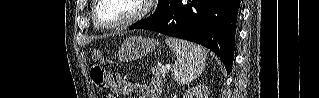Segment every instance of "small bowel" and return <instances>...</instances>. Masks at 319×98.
<instances>
[{
    "instance_id": "c3829d8e",
    "label": "small bowel",
    "mask_w": 319,
    "mask_h": 98,
    "mask_svg": "<svg viewBox=\"0 0 319 98\" xmlns=\"http://www.w3.org/2000/svg\"><path fill=\"white\" fill-rule=\"evenodd\" d=\"M109 86L120 94H130L133 91H137L139 98H157L158 92L162 87L161 83L157 80L153 81L151 85L133 84L117 75L111 76Z\"/></svg>"
}]
</instances>
